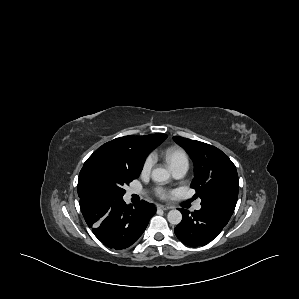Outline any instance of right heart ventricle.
I'll return each instance as SVG.
<instances>
[{"label":"right heart ventricle","instance_id":"e07e8e85","mask_svg":"<svg viewBox=\"0 0 299 299\" xmlns=\"http://www.w3.org/2000/svg\"><path fill=\"white\" fill-rule=\"evenodd\" d=\"M164 157L168 165L173 169L174 167L189 163L186 152L178 147H170L164 152Z\"/></svg>","mask_w":299,"mask_h":299}]
</instances>
